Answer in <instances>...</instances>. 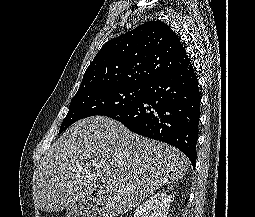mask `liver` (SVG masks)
Instances as JSON below:
<instances>
[{"label":"liver","instance_id":"1","mask_svg":"<svg viewBox=\"0 0 255 217\" xmlns=\"http://www.w3.org/2000/svg\"><path fill=\"white\" fill-rule=\"evenodd\" d=\"M187 169L186 156L173 146L135 134L111 118L89 117L68 128L42 157L33 198L42 211L55 212L96 191L99 215L117 217Z\"/></svg>","mask_w":255,"mask_h":217}]
</instances>
